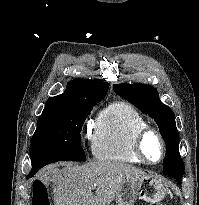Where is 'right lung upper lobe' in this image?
Returning <instances> with one entry per match:
<instances>
[{"label": "right lung upper lobe", "instance_id": "right-lung-upper-lobe-1", "mask_svg": "<svg viewBox=\"0 0 199 205\" xmlns=\"http://www.w3.org/2000/svg\"><path fill=\"white\" fill-rule=\"evenodd\" d=\"M109 84L98 80L77 78L68 82L63 94L49 98L43 111L57 106L70 105L83 100L103 99Z\"/></svg>", "mask_w": 199, "mask_h": 205}]
</instances>
